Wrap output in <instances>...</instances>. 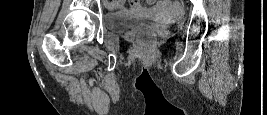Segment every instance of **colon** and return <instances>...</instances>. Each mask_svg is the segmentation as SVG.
Returning <instances> with one entry per match:
<instances>
[{
  "label": "colon",
  "instance_id": "obj_1",
  "mask_svg": "<svg viewBox=\"0 0 267 115\" xmlns=\"http://www.w3.org/2000/svg\"><path fill=\"white\" fill-rule=\"evenodd\" d=\"M119 8L118 7H113V12H118ZM138 38L143 41H151L155 38V34L152 32H145L141 33Z\"/></svg>",
  "mask_w": 267,
  "mask_h": 115
}]
</instances>
